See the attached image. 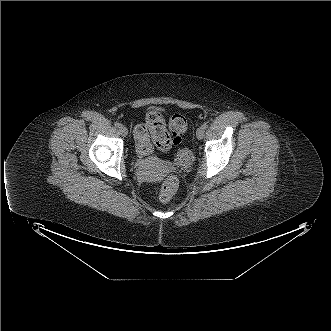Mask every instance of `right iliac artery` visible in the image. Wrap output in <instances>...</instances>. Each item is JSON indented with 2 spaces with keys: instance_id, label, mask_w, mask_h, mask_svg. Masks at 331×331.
<instances>
[{
  "instance_id": "obj_1",
  "label": "right iliac artery",
  "mask_w": 331,
  "mask_h": 331,
  "mask_svg": "<svg viewBox=\"0 0 331 331\" xmlns=\"http://www.w3.org/2000/svg\"><path fill=\"white\" fill-rule=\"evenodd\" d=\"M114 125H115V127H119L121 124H120L119 122L116 121V122L114 123Z\"/></svg>"
}]
</instances>
